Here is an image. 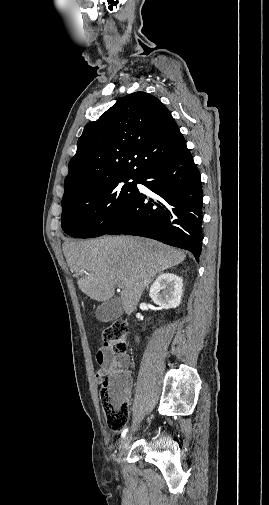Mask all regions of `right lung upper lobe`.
<instances>
[{
  "instance_id": "1",
  "label": "right lung upper lobe",
  "mask_w": 269,
  "mask_h": 505,
  "mask_svg": "<svg viewBox=\"0 0 269 505\" xmlns=\"http://www.w3.org/2000/svg\"><path fill=\"white\" fill-rule=\"evenodd\" d=\"M186 144L164 104L135 92L88 123L69 162L62 201L108 182L132 178Z\"/></svg>"
}]
</instances>
